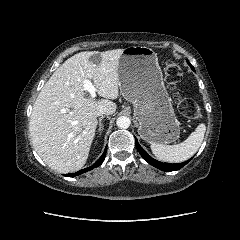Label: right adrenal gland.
I'll use <instances>...</instances> for the list:
<instances>
[{"instance_id":"right-adrenal-gland-1","label":"right adrenal gland","mask_w":240,"mask_h":240,"mask_svg":"<svg viewBox=\"0 0 240 240\" xmlns=\"http://www.w3.org/2000/svg\"><path fill=\"white\" fill-rule=\"evenodd\" d=\"M104 119V116H101L100 118H99V128H98V132H102V130H103V125H102V120Z\"/></svg>"}]
</instances>
